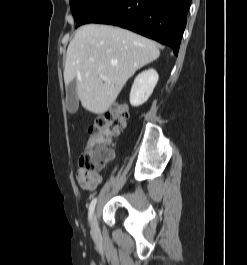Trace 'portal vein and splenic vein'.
Listing matches in <instances>:
<instances>
[{"label": "portal vein and splenic vein", "mask_w": 247, "mask_h": 265, "mask_svg": "<svg viewBox=\"0 0 247 265\" xmlns=\"http://www.w3.org/2000/svg\"><path fill=\"white\" fill-rule=\"evenodd\" d=\"M100 77H101L102 80H105V81L107 80V77L105 75H103V74H100Z\"/></svg>", "instance_id": "1"}]
</instances>
